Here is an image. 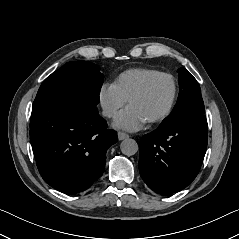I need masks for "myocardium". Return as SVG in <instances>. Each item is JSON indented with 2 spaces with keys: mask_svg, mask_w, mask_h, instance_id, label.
Returning a JSON list of instances; mask_svg holds the SVG:
<instances>
[{
  "mask_svg": "<svg viewBox=\"0 0 239 239\" xmlns=\"http://www.w3.org/2000/svg\"><path fill=\"white\" fill-rule=\"evenodd\" d=\"M160 78H167L170 82H171V86H172V93H171V98L169 100V103L167 104L166 108L159 113L158 115L150 118L147 120L148 123H156L159 121H162L163 119H165L170 112L172 111V108L174 106L175 100H176V96H177V85L176 82L174 80V78L168 74V73H164V72H159L153 76H151L150 78H148L137 90H135L130 97L128 98V105H130L135 99L139 98L140 96H142L146 90L148 89V87L156 80L160 79Z\"/></svg>",
  "mask_w": 239,
  "mask_h": 239,
  "instance_id": "f54148a6",
  "label": "myocardium"
}]
</instances>
